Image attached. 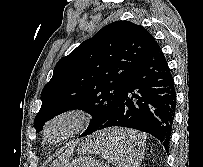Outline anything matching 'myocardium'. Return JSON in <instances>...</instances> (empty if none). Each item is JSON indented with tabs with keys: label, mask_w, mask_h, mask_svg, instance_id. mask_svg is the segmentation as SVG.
<instances>
[{
	"label": "myocardium",
	"mask_w": 203,
	"mask_h": 167,
	"mask_svg": "<svg viewBox=\"0 0 203 167\" xmlns=\"http://www.w3.org/2000/svg\"><path fill=\"white\" fill-rule=\"evenodd\" d=\"M89 121L90 116L84 110L70 108L60 111L45 123L44 140L49 144L62 143L82 132Z\"/></svg>",
	"instance_id": "f54148a6"
}]
</instances>
